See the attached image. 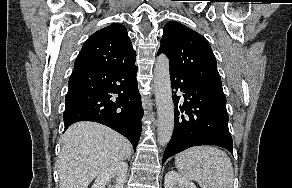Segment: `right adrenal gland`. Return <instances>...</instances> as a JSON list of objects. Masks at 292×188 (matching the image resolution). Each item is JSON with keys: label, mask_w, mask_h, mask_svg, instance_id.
I'll use <instances>...</instances> for the list:
<instances>
[{"label": "right adrenal gland", "mask_w": 292, "mask_h": 188, "mask_svg": "<svg viewBox=\"0 0 292 188\" xmlns=\"http://www.w3.org/2000/svg\"><path fill=\"white\" fill-rule=\"evenodd\" d=\"M130 158H131V156L129 155V156H128V158H127V159H128V161H130Z\"/></svg>", "instance_id": "obj_1"}]
</instances>
